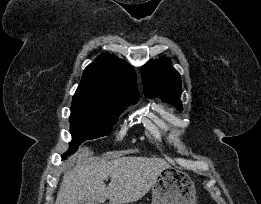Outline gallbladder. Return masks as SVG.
<instances>
[{"mask_svg": "<svg viewBox=\"0 0 261 204\" xmlns=\"http://www.w3.org/2000/svg\"><path fill=\"white\" fill-rule=\"evenodd\" d=\"M80 204H98L97 201L93 199H83Z\"/></svg>", "mask_w": 261, "mask_h": 204, "instance_id": "gallbladder-1", "label": "gallbladder"}]
</instances>
